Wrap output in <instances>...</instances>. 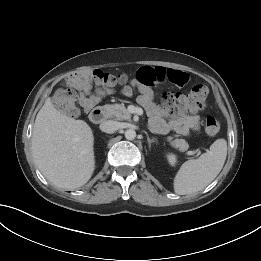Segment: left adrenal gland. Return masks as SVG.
<instances>
[{"label":"left adrenal gland","mask_w":261,"mask_h":261,"mask_svg":"<svg viewBox=\"0 0 261 261\" xmlns=\"http://www.w3.org/2000/svg\"><path fill=\"white\" fill-rule=\"evenodd\" d=\"M147 142H148V146L150 148L152 143H157V139L156 138L150 139L149 136H147Z\"/></svg>","instance_id":"1"}]
</instances>
